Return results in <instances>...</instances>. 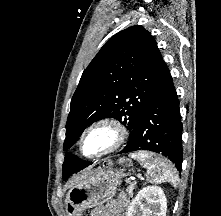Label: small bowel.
I'll use <instances>...</instances> for the list:
<instances>
[{"label":"small bowel","mask_w":221,"mask_h":216,"mask_svg":"<svg viewBox=\"0 0 221 216\" xmlns=\"http://www.w3.org/2000/svg\"><path fill=\"white\" fill-rule=\"evenodd\" d=\"M126 206L127 199L121 195L113 202L93 210L91 216H126Z\"/></svg>","instance_id":"1"}]
</instances>
